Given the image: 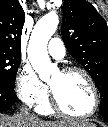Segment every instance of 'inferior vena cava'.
<instances>
[{
    "instance_id": "obj_1",
    "label": "inferior vena cava",
    "mask_w": 108,
    "mask_h": 127,
    "mask_svg": "<svg viewBox=\"0 0 108 127\" xmlns=\"http://www.w3.org/2000/svg\"><path fill=\"white\" fill-rule=\"evenodd\" d=\"M24 113H28V111H27V110H25V111H24Z\"/></svg>"
}]
</instances>
